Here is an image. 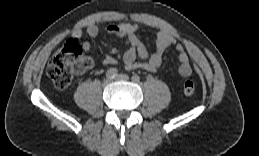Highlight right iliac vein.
Here are the masks:
<instances>
[{
  "label": "right iliac vein",
  "mask_w": 259,
  "mask_h": 156,
  "mask_svg": "<svg viewBox=\"0 0 259 156\" xmlns=\"http://www.w3.org/2000/svg\"><path fill=\"white\" fill-rule=\"evenodd\" d=\"M111 81H112V79L106 78V79L104 80V83H105V84H108V83H110Z\"/></svg>",
  "instance_id": "63e3f726"
}]
</instances>
